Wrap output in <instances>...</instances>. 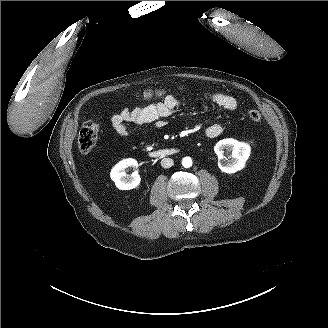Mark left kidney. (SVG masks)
Listing matches in <instances>:
<instances>
[{
	"mask_svg": "<svg viewBox=\"0 0 328 328\" xmlns=\"http://www.w3.org/2000/svg\"><path fill=\"white\" fill-rule=\"evenodd\" d=\"M224 149L231 151L229 160L224 156ZM218 156V167L222 172L235 173L245 167V163L250 156V145L239 142L233 138L220 140L214 147Z\"/></svg>",
	"mask_w": 328,
	"mask_h": 328,
	"instance_id": "5707ae66",
	"label": "left kidney"
}]
</instances>
